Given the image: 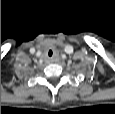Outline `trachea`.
I'll list each match as a JSON object with an SVG mask.
<instances>
[{"label": "trachea", "instance_id": "trachea-1", "mask_svg": "<svg viewBox=\"0 0 115 114\" xmlns=\"http://www.w3.org/2000/svg\"><path fill=\"white\" fill-rule=\"evenodd\" d=\"M48 55L51 57L53 55V51L49 50Z\"/></svg>", "mask_w": 115, "mask_h": 114}]
</instances>
